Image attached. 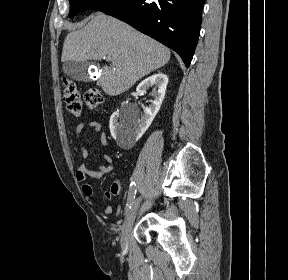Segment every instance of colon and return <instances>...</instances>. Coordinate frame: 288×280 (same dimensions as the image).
<instances>
[{"label": "colon", "instance_id": "obj_1", "mask_svg": "<svg viewBox=\"0 0 288 280\" xmlns=\"http://www.w3.org/2000/svg\"><path fill=\"white\" fill-rule=\"evenodd\" d=\"M64 100L69 112L75 116H80L83 110V101L85 107L93 111L103 102V94L99 89L91 87L85 92L82 101L75 82L70 79H64Z\"/></svg>", "mask_w": 288, "mask_h": 280}]
</instances>
